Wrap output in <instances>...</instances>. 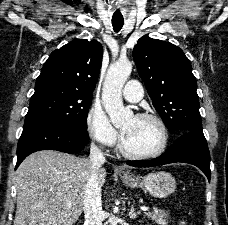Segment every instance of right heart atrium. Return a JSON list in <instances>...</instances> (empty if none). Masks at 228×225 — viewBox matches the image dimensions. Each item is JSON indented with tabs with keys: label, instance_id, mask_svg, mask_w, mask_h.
<instances>
[{
	"label": "right heart atrium",
	"instance_id": "right-heart-atrium-1",
	"mask_svg": "<svg viewBox=\"0 0 228 225\" xmlns=\"http://www.w3.org/2000/svg\"><path fill=\"white\" fill-rule=\"evenodd\" d=\"M85 125L91 140L100 146L111 147L118 141V132L110 123L104 110L96 104L88 110Z\"/></svg>",
	"mask_w": 228,
	"mask_h": 225
}]
</instances>
